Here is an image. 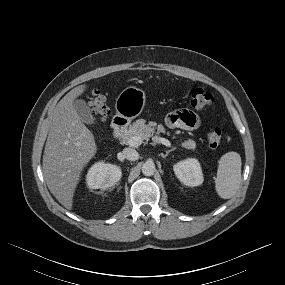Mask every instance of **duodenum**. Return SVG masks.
Returning <instances> with one entry per match:
<instances>
[{"label": "duodenum", "mask_w": 285, "mask_h": 285, "mask_svg": "<svg viewBox=\"0 0 285 285\" xmlns=\"http://www.w3.org/2000/svg\"><path fill=\"white\" fill-rule=\"evenodd\" d=\"M127 120L123 117H116L113 121L112 124V130H113V135L114 137L118 138L120 136H122V134L124 133V131L127 128Z\"/></svg>", "instance_id": "obj_1"}]
</instances>
